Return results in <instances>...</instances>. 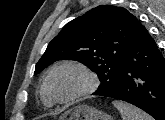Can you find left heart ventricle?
<instances>
[{"label": "left heart ventricle", "mask_w": 165, "mask_h": 120, "mask_svg": "<svg viewBox=\"0 0 165 120\" xmlns=\"http://www.w3.org/2000/svg\"><path fill=\"white\" fill-rule=\"evenodd\" d=\"M87 85L86 76L75 68L56 71L50 79V89L57 98H68Z\"/></svg>", "instance_id": "1"}]
</instances>
